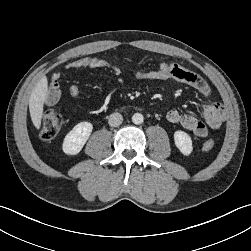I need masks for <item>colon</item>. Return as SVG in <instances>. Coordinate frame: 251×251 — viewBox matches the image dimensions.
<instances>
[{"mask_svg": "<svg viewBox=\"0 0 251 251\" xmlns=\"http://www.w3.org/2000/svg\"><path fill=\"white\" fill-rule=\"evenodd\" d=\"M62 126V117L59 112L55 110L47 111L39 124L38 132L42 139L51 140L55 138ZM214 147L213 140H207L202 144V149L209 151Z\"/></svg>", "mask_w": 251, "mask_h": 251, "instance_id": "1", "label": "colon"}]
</instances>
